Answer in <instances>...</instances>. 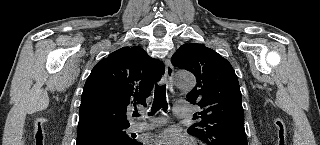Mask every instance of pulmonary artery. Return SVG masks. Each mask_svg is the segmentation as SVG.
<instances>
[{"mask_svg":"<svg viewBox=\"0 0 320 145\" xmlns=\"http://www.w3.org/2000/svg\"><path fill=\"white\" fill-rule=\"evenodd\" d=\"M190 113L189 104L185 101H177L174 104V114L176 117H186ZM167 119L165 117H152L147 121L137 122L131 124L129 130L131 132H142L153 129L155 127L165 124Z\"/></svg>","mask_w":320,"mask_h":145,"instance_id":"obj_1","label":"pulmonary artery"}]
</instances>
